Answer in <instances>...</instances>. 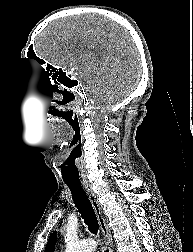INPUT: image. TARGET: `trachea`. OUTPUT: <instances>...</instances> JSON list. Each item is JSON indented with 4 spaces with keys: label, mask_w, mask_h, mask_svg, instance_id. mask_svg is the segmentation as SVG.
Wrapping results in <instances>:
<instances>
[{
    "label": "trachea",
    "mask_w": 193,
    "mask_h": 252,
    "mask_svg": "<svg viewBox=\"0 0 193 252\" xmlns=\"http://www.w3.org/2000/svg\"><path fill=\"white\" fill-rule=\"evenodd\" d=\"M72 193L75 206L81 214L84 223L92 234H97L99 229L98 220L93 206L81 184L66 183ZM108 252V251H107Z\"/></svg>",
    "instance_id": "1"
}]
</instances>
